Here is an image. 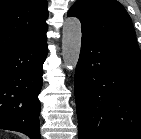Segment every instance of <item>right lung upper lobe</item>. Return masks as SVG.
I'll list each match as a JSON object with an SVG mask.
<instances>
[{"instance_id":"obj_1","label":"right lung upper lobe","mask_w":141,"mask_h":139,"mask_svg":"<svg viewBox=\"0 0 141 139\" xmlns=\"http://www.w3.org/2000/svg\"><path fill=\"white\" fill-rule=\"evenodd\" d=\"M47 0H0V52L46 36Z\"/></svg>"}]
</instances>
